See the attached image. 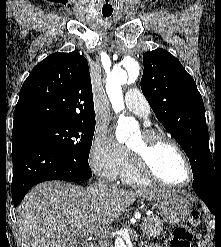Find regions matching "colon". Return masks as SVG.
Listing matches in <instances>:
<instances>
[{"label": "colon", "instance_id": "obj_1", "mask_svg": "<svg viewBox=\"0 0 221 247\" xmlns=\"http://www.w3.org/2000/svg\"><path fill=\"white\" fill-rule=\"evenodd\" d=\"M199 224V215L197 212H192L187 216L182 224L176 227L170 239V247H191L193 230Z\"/></svg>", "mask_w": 221, "mask_h": 247}]
</instances>
